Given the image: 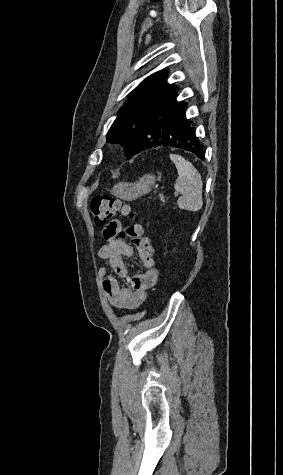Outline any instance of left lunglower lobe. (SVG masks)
Instances as JSON below:
<instances>
[{"instance_id":"0a47b994","label":"left lung lower lobe","mask_w":283,"mask_h":475,"mask_svg":"<svg viewBox=\"0 0 283 475\" xmlns=\"http://www.w3.org/2000/svg\"><path fill=\"white\" fill-rule=\"evenodd\" d=\"M177 88L150 112L139 135H121L116 143L125 145L127 157L154 147H175L204 159V145L196 137L195 123L185 115L186 102L176 100Z\"/></svg>"}]
</instances>
